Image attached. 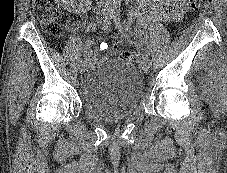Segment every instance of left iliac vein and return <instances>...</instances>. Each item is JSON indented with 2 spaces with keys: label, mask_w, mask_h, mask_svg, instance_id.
Wrapping results in <instances>:
<instances>
[{
  "label": "left iliac vein",
  "mask_w": 227,
  "mask_h": 173,
  "mask_svg": "<svg viewBox=\"0 0 227 173\" xmlns=\"http://www.w3.org/2000/svg\"><path fill=\"white\" fill-rule=\"evenodd\" d=\"M141 68L143 70L144 73L148 74L150 72V68H151V62L150 60H145L142 65Z\"/></svg>",
  "instance_id": "4c4485c4"
}]
</instances>
